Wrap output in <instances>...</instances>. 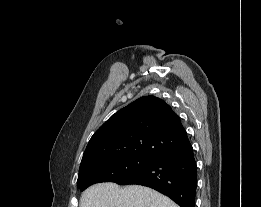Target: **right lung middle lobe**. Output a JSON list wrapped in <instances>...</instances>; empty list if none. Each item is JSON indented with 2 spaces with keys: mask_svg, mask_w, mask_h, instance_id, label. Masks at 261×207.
I'll use <instances>...</instances> for the list:
<instances>
[{
  "mask_svg": "<svg viewBox=\"0 0 261 207\" xmlns=\"http://www.w3.org/2000/svg\"><path fill=\"white\" fill-rule=\"evenodd\" d=\"M155 161L156 158L132 155L88 164L80 167L77 187L84 191L95 183H119L125 178L146 169Z\"/></svg>",
  "mask_w": 261,
  "mask_h": 207,
  "instance_id": "obj_1",
  "label": "right lung middle lobe"
}]
</instances>
